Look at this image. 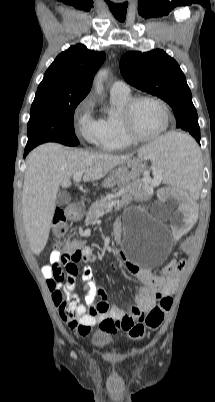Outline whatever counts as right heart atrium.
Segmentation results:
<instances>
[{
  "label": "right heart atrium",
  "instance_id": "right-heart-atrium-1",
  "mask_svg": "<svg viewBox=\"0 0 215 402\" xmlns=\"http://www.w3.org/2000/svg\"><path fill=\"white\" fill-rule=\"evenodd\" d=\"M75 130L87 144L100 145L103 124L101 119L93 116V102L90 98L84 99L75 110Z\"/></svg>",
  "mask_w": 215,
  "mask_h": 402
}]
</instances>
